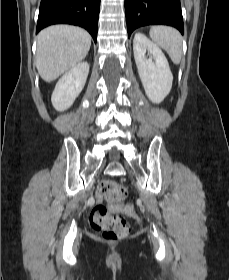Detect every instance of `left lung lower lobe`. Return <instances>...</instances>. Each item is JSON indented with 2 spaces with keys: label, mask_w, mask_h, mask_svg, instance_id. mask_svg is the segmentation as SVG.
<instances>
[{
  "label": "left lung lower lobe",
  "mask_w": 229,
  "mask_h": 280,
  "mask_svg": "<svg viewBox=\"0 0 229 280\" xmlns=\"http://www.w3.org/2000/svg\"><path fill=\"white\" fill-rule=\"evenodd\" d=\"M128 36L138 27L164 24L184 33L180 0H125Z\"/></svg>",
  "instance_id": "left-lung-lower-lobe-1"
}]
</instances>
